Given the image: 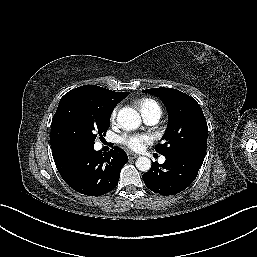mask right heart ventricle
<instances>
[{"instance_id":"1","label":"right heart ventricle","mask_w":257,"mask_h":257,"mask_svg":"<svg viewBox=\"0 0 257 257\" xmlns=\"http://www.w3.org/2000/svg\"><path fill=\"white\" fill-rule=\"evenodd\" d=\"M138 109L140 110L143 117L148 116L150 114H160L161 115V106L157 100L151 97H144L139 99L136 102Z\"/></svg>"}]
</instances>
